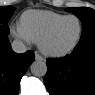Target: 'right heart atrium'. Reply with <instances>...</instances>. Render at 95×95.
Masks as SVG:
<instances>
[{"mask_svg":"<svg viewBox=\"0 0 95 95\" xmlns=\"http://www.w3.org/2000/svg\"><path fill=\"white\" fill-rule=\"evenodd\" d=\"M11 32L15 38L23 43H30L31 39L27 36L24 30L20 27V25H15L11 27Z\"/></svg>","mask_w":95,"mask_h":95,"instance_id":"1","label":"right heart atrium"}]
</instances>
